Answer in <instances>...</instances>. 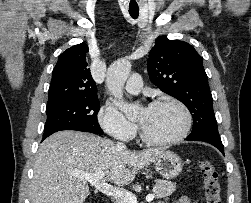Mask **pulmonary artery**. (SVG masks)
<instances>
[{
	"label": "pulmonary artery",
	"instance_id": "pulmonary-artery-1",
	"mask_svg": "<svg viewBox=\"0 0 251 203\" xmlns=\"http://www.w3.org/2000/svg\"><path fill=\"white\" fill-rule=\"evenodd\" d=\"M142 88V78L139 74H134L129 77L126 82L125 90L131 94H137Z\"/></svg>",
	"mask_w": 251,
	"mask_h": 203
}]
</instances>
